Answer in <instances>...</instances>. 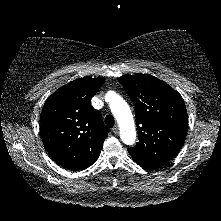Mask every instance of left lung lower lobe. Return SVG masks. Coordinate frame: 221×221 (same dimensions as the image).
Here are the masks:
<instances>
[{
	"instance_id": "0a47b994",
	"label": "left lung lower lobe",
	"mask_w": 221,
	"mask_h": 221,
	"mask_svg": "<svg viewBox=\"0 0 221 221\" xmlns=\"http://www.w3.org/2000/svg\"><path fill=\"white\" fill-rule=\"evenodd\" d=\"M136 163L147 169H157L161 167V165H158V164H151V163H144V162H136Z\"/></svg>"
}]
</instances>
